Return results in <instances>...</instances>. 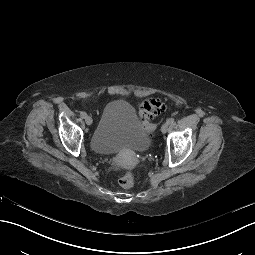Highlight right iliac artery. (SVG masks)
<instances>
[{
  "label": "right iliac artery",
  "mask_w": 255,
  "mask_h": 255,
  "mask_svg": "<svg viewBox=\"0 0 255 255\" xmlns=\"http://www.w3.org/2000/svg\"><path fill=\"white\" fill-rule=\"evenodd\" d=\"M80 116H81L82 118H86L87 114H86L85 112H81V113H80Z\"/></svg>",
  "instance_id": "right-iliac-artery-1"
}]
</instances>
